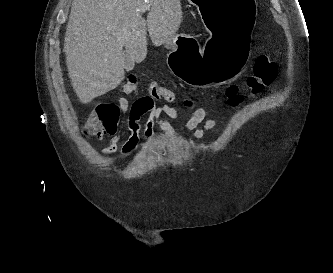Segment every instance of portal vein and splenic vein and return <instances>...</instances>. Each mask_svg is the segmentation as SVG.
Segmentation results:
<instances>
[{"instance_id":"portal-vein-and-splenic-vein-1","label":"portal vein and splenic vein","mask_w":333,"mask_h":273,"mask_svg":"<svg viewBox=\"0 0 333 273\" xmlns=\"http://www.w3.org/2000/svg\"><path fill=\"white\" fill-rule=\"evenodd\" d=\"M147 9H149L148 3L144 4L138 11L145 12Z\"/></svg>"}]
</instances>
